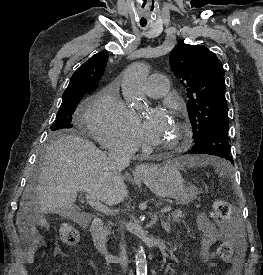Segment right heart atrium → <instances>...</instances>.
Instances as JSON below:
<instances>
[{
	"instance_id": "d8ad5b80",
	"label": "right heart atrium",
	"mask_w": 263,
	"mask_h": 275,
	"mask_svg": "<svg viewBox=\"0 0 263 275\" xmlns=\"http://www.w3.org/2000/svg\"><path fill=\"white\" fill-rule=\"evenodd\" d=\"M85 125L108 149L133 152L141 144L135 116L113 88L94 97L86 110Z\"/></svg>"
}]
</instances>
